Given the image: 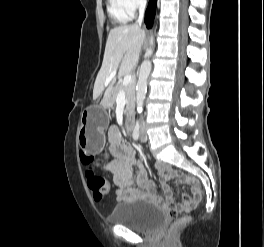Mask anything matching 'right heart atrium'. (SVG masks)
<instances>
[{"label": "right heart atrium", "mask_w": 264, "mask_h": 247, "mask_svg": "<svg viewBox=\"0 0 264 247\" xmlns=\"http://www.w3.org/2000/svg\"><path fill=\"white\" fill-rule=\"evenodd\" d=\"M120 6L130 15L143 8L146 0H117Z\"/></svg>", "instance_id": "obj_1"}]
</instances>
